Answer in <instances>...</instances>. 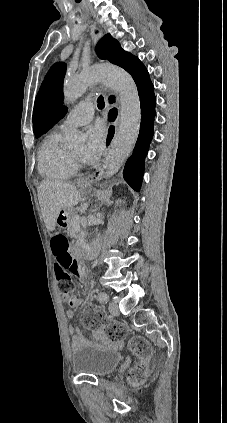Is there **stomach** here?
I'll list each match as a JSON object with an SVG mask.
<instances>
[{"mask_svg": "<svg viewBox=\"0 0 227 423\" xmlns=\"http://www.w3.org/2000/svg\"><path fill=\"white\" fill-rule=\"evenodd\" d=\"M91 184L92 180H90L89 184H81V182H79L80 190H83V192H91Z\"/></svg>", "mask_w": 227, "mask_h": 423, "instance_id": "0dacf381", "label": "stomach"}]
</instances>
